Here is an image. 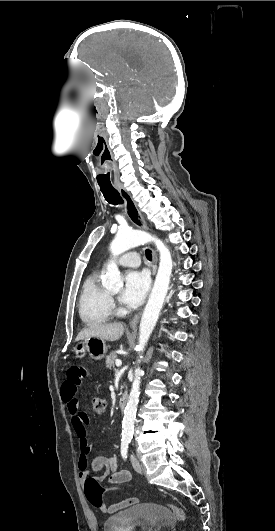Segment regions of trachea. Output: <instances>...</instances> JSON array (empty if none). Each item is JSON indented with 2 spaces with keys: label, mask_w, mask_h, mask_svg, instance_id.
<instances>
[{
  "label": "trachea",
  "mask_w": 275,
  "mask_h": 531,
  "mask_svg": "<svg viewBox=\"0 0 275 531\" xmlns=\"http://www.w3.org/2000/svg\"><path fill=\"white\" fill-rule=\"evenodd\" d=\"M100 189L104 195V198L106 199V201H108V203L115 204V205L123 203V199L120 196L119 191H117V189H115L113 186L101 187ZM145 255L147 259L149 260L152 259V254H151L150 249H146Z\"/></svg>",
  "instance_id": "1"
}]
</instances>
